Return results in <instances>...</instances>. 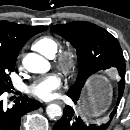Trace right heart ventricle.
Segmentation results:
<instances>
[{
	"instance_id": "right-heart-ventricle-1",
	"label": "right heart ventricle",
	"mask_w": 130,
	"mask_h": 130,
	"mask_svg": "<svg viewBox=\"0 0 130 130\" xmlns=\"http://www.w3.org/2000/svg\"><path fill=\"white\" fill-rule=\"evenodd\" d=\"M59 41L50 35H45L36 39L33 48L46 57L52 58L59 49Z\"/></svg>"
}]
</instances>
